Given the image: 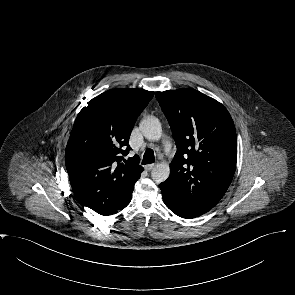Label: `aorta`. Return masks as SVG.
<instances>
[{"label": "aorta", "mask_w": 295, "mask_h": 295, "mask_svg": "<svg viewBox=\"0 0 295 295\" xmlns=\"http://www.w3.org/2000/svg\"><path fill=\"white\" fill-rule=\"evenodd\" d=\"M140 130L148 140L157 141L162 136V126L158 118L149 116L140 122ZM170 175V167L167 163L157 164L151 171V177L157 184L164 182Z\"/></svg>", "instance_id": "762f6f07"}]
</instances>
